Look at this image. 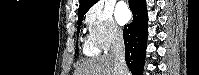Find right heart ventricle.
Segmentation results:
<instances>
[{
  "label": "right heart ventricle",
  "mask_w": 199,
  "mask_h": 75,
  "mask_svg": "<svg viewBox=\"0 0 199 75\" xmlns=\"http://www.w3.org/2000/svg\"><path fill=\"white\" fill-rule=\"evenodd\" d=\"M84 53L89 56L97 55L99 53V48L94 44L91 38H88L84 42Z\"/></svg>",
  "instance_id": "obj_1"
}]
</instances>
